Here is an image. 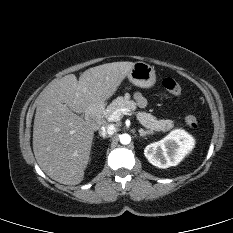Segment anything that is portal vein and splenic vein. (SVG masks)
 I'll list each match as a JSON object with an SVG mask.
<instances>
[{
    "label": "portal vein and splenic vein",
    "mask_w": 233,
    "mask_h": 233,
    "mask_svg": "<svg viewBox=\"0 0 233 233\" xmlns=\"http://www.w3.org/2000/svg\"><path fill=\"white\" fill-rule=\"evenodd\" d=\"M122 115H131V111L127 108L117 109L113 114H111L107 120L109 122H117L120 120Z\"/></svg>",
    "instance_id": "obj_1"
}]
</instances>
